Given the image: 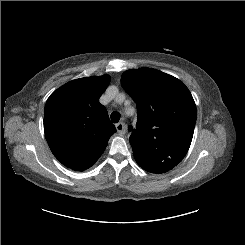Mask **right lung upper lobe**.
I'll use <instances>...</instances> for the list:
<instances>
[{"label": "right lung upper lobe", "mask_w": 245, "mask_h": 245, "mask_svg": "<svg viewBox=\"0 0 245 245\" xmlns=\"http://www.w3.org/2000/svg\"><path fill=\"white\" fill-rule=\"evenodd\" d=\"M109 82V75L76 79L54 91L46 102V140L59 162L75 171L91 167L115 133L99 103Z\"/></svg>", "instance_id": "obj_1"}]
</instances>
